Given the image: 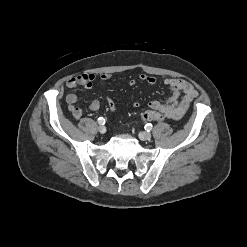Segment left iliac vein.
<instances>
[{"label": "left iliac vein", "instance_id": "4c4485c4", "mask_svg": "<svg viewBox=\"0 0 247 247\" xmlns=\"http://www.w3.org/2000/svg\"><path fill=\"white\" fill-rule=\"evenodd\" d=\"M152 137L151 133L149 132H140L139 133V138L143 141L150 140Z\"/></svg>", "mask_w": 247, "mask_h": 247}]
</instances>
